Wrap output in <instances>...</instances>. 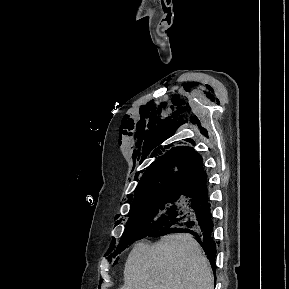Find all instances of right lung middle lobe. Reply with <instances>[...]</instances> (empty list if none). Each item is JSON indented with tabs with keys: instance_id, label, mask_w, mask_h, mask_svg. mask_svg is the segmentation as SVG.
Here are the masks:
<instances>
[{
	"instance_id": "dd1d6c3e",
	"label": "right lung middle lobe",
	"mask_w": 289,
	"mask_h": 289,
	"mask_svg": "<svg viewBox=\"0 0 289 289\" xmlns=\"http://www.w3.org/2000/svg\"><path fill=\"white\" fill-rule=\"evenodd\" d=\"M200 198L185 194H160L136 198L115 254L129 243L155 233L168 234L185 221Z\"/></svg>"
}]
</instances>
